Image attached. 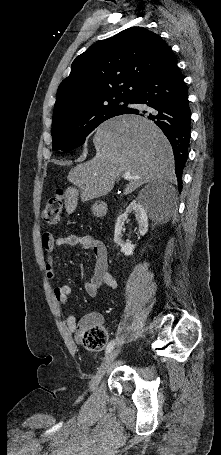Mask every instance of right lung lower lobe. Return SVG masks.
<instances>
[{
	"mask_svg": "<svg viewBox=\"0 0 221 455\" xmlns=\"http://www.w3.org/2000/svg\"><path fill=\"white\" fill-rule=\"evenodd\" d=\"M183 79L176 57L170 50L130 99V103L143 106L128 108L125 112L148 117L167 136L174 153L179 190L182 188V174L187 161L191 132L188 91Z\"/></svg>",
	"mask_w": 221,
	"mask_h": 455,
	"instance_id": "98d812e1",
	"label": "right lung lower lobe"
}]
</instances>
